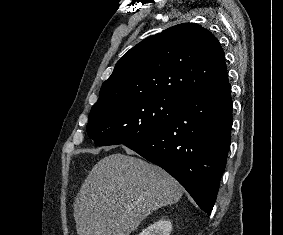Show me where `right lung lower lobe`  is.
I'll return each mask as SVG.
<instances>
[{
	"label": "right lung lower lobe",
	"mask_w": 283,
	"mask_h": 235,
	"mask_svg": "<svg viewBox=\"0 0 283 235\" xmlns=\"http://www.w3.org/2000/svg\"><path fill=\"white\" fill-rule=\"evenodd\" d=\"M232 106L227 80L181 98L168 123L125 145L166 170L210 215L230 147Z\"/></svg>",
	"instance_id": "1"
}]
</instances>
